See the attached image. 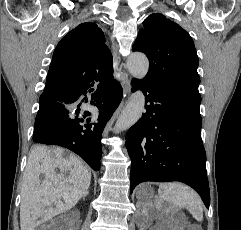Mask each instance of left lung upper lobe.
<instances>
[{"label":"left lung upper lobe","instance_id":"1","mask_svg":"<svg viewBox=\"0 0 241 230\" xmlns=\"http://www.w3.org/2000/svg\"><path fill=\"white\" fill-rule=\"evenodd\" d=\"M133 51L149 59L145 83L161 85L201 100L198 56L191 36L160 13L143 21Z\"/></svg>","mask_w":241,"mask_h":230}]
</instances>
